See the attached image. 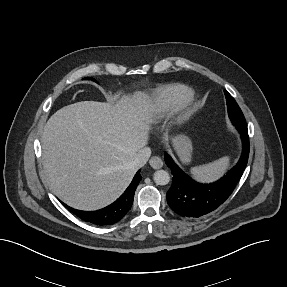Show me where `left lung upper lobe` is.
Here are the masks:
<instances>
[{"label":"left lung upper lobe","mask_w":287,"mask_h":287,"mask_svg":"<svg viewBox=\"0 0 287 287\" xmlns=\"http://www.w3.org/2000/svg\"><path fill=\"white\" fill-rule=\"evenodd\" d=\"M224 93L226 96L228 114H229L231 121L232 122H246L240 107L237 105L233 97L226 90H224Z\"/></svg>","instance_id":"obj_1"}]
</instances>
